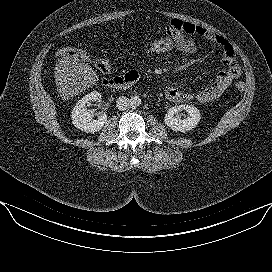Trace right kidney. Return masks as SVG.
Segmentation results:
<instances>
[{"label": "right kidney", "mask_w": 272, "mask_h": 272, "mask_svg": "<svg viewBox=\"0 0 272 272\" xmlns=\"http://www.w3.org/2000/svg\"><path fill=\"white\" fill-rule=\"evenodd\" d=\"M101 93L97 91L90 92L81 98L71 112L72 123L74 126L84 132L94 133L102 129L107 121V115L101 114L97 119H94V110L89 109L93 101L101 100Z\"/></svg>", "instance_id": "obj_1"}]
</instances>
